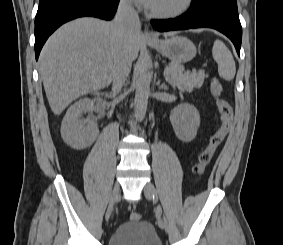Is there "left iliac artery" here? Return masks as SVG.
I'll return each instance as SVG.
<instances>
[{"label":"left iliac artery","instance_id":"1","mask_svg":"<svg viewBox=\"0 0 283 245\" xmlns=\"http://www.w3.org/2000/svg\"><path fill=\"white\" fill-rule=\"evenodd\" d=\"M161 215H162V209H161L160 206H158L157 210H156L157 223H158V225H161V224H163V221H164V223L168 226V222H167L166 218H164L162 220Z\"/></svg>","mask_w":283,"mask_h":245}]
</instances>
